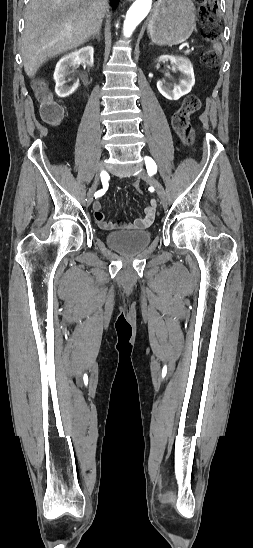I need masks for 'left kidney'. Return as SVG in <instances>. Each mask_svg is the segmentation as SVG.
Instances as JSON below:
<instances>
[{
	"mask_svg": "<svg viewBox=\"0 0 253 548\" xmlns=\"http://www.w3.org/2000/svg\"><path fill=\"white\" fill-rule=\"evenodd\" d=\"M175 64L178 70L182 73V78L178 84H166L163 81L157 82L158 91L168 100H178L185 94L189 93L195 84L193 66L189 59L185 57H174L163 55L158 61H168Z\"/></svg>",
	"mask_w": 253,
	"mask_h": 548,
	"instance_id": "1",
	"label": "left kidney"
}]
</instances>
